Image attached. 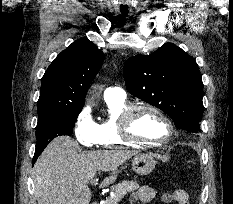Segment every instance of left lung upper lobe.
Segmentation results:
<instances>
[{
    "instance_id": "1",
    "label": "left lung upper lobe",
    "mask_w": 233,
    "mask_h": 204,
    "mask_svg": "<svg viewBox=\"0 0 233 204\" xmlns=\"http://www.w3.org/2000/svg\"><path fill=\"white\" fill-rule=\"evenodd\" d=\"M133 96L164 111L176 128L198 135L203 115L202 78L195 60L173 43L150 55H136L124 65Z\"/></svg>"
}]
</instances>
